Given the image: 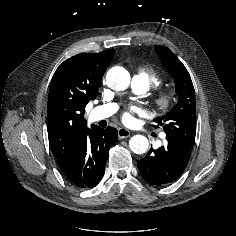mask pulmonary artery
<instances>
[{"mask_svg":"<svg viewBox=\"0 0 236 236\" xmlns=\"http://www.w3.org/2000/svg\"><path fill=\"white\" fill-rule=\"evenodd\" d=\"M132 86L138 93H145L149 89V87L136 76L132 79ZM116 110L117 105L114 103L101 105L92 110L91 117L94 121L106 119L113 115ZM162 137L165 138V135H162Z\"/></svg>","mask_w":236,"mask_h":236,"instance_id":"e3ab8cb5","label":"pulmonary artery"}]
</instances>
